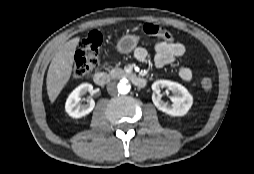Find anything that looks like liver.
<instances>
[{
  "label": "liver",
  "mask_w": 254,
  "mask_h": 174,
  "mask_svg": "<svg viewBox=\"0 0 254 174\" xmlns=\"http://www.w3.org/2000/svg\"><path fill=\"white\" fill-rule=\"evenodd\" d=\"M80 37L63 44L55 53L47 73L46 85L49 100L53 103L71 77L74 53Z\"/></svg>",
  "instance_id": "liver-1"
}]
</instances>
